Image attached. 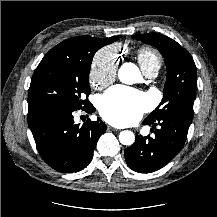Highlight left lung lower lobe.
<instances>
[{"mask_svg": "<svg viewBox=\"0 0 217 217\" xmlns=\"http://www.w3.org/2000/svg\"><path fill=\"white\" fill-rule=\"evenodd\" d=\"M143 124L152 125L154 129L157 125L160 127L154 131L153 138L137 136L124 154L129 168L139 173H151L164 167L181 151L191 121L168 116L156 121L145 119Z\"/></svg>", "mask_w": 217, "mask_h": 217, "instance_id": "1", "label": "left lung lower lobe"}]
</instances>
